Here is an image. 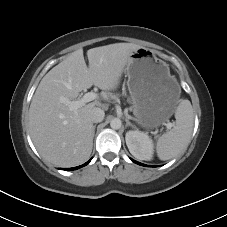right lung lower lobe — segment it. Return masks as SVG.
<instances>
[{
	"label": "right lung lower lobe",
	"mask_w": 227,
	"mask_h": 227,
	"mask_svg": "<svg viewBox=\"0 0 227 227\" xmlns=\"http://www.w3.org/2000/svg\"><path fill=\"white\" fill-rule=\"evenodd\" d=\"M89 162H90V160L88 162H86L85 164L81 165V166L73 167V168H64L63 170H75V169H78L80 167H83V166L87 165Z\"/></svg>",
	"instance_id": "1"
}]
</instances>
